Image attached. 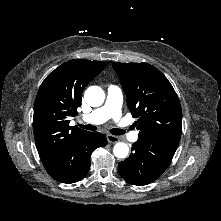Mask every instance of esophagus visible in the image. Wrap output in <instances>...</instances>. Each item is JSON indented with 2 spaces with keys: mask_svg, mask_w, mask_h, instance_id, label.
Instances as JSON below:
<instances>
[{
  "mask_svg": "<svg viewBox=\"0 0 221 221\" xmlns=\"http://www.w3.org/2000/svg\"><path fill=\"white\" fill-rule=\"evenodd\" d=\"M107 140L109 143H116L119 141V137L115 136V135H111V134H108L107 135Z\"/></svg>",
  "mask_w": 221,
  "mask_h": 221,
  "instance_id": "obj_1",
  "label": "esophagus"
}]
</instances>
